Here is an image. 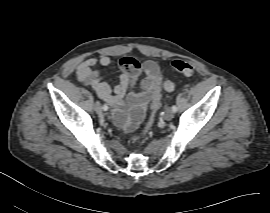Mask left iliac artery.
<instances>
[{
    "mask_svg": "<svg viewBox=\"0 0 270 213\" xmlns=\"http://www.w3.org/2000/svg\"><path fill=\"white\" fill-rule=\"evenodd\" d=\"M171 108H172V111H173L174 113H176L177 110H178L177 106H175V105H173Z\"/></svg>",
    "mask_w": 270,
    "mask_h": 213,
    "instance_id": "obj_1",
    "label": "left iliac artery"
}]
</instances>
